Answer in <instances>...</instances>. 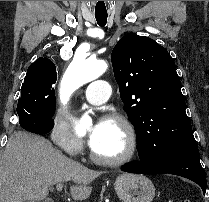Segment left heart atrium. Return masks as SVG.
Masks as SVG:
<instances>
[{"label": "left heart atrium", "instance_id": "1", "mask_svg": "<svg viewBox=\"0 0 209 202\" xmlns=\"http://www.w3.org/2000/svg\"><path fill=\"white\" fill-rule=\"evenodd\" d=\"M101 124L102 122L96 123L90 130L89 135H88V141L91 145H93L100 133V129H101Z\"/></svg>", "mask_w": 209, "mask_h": 202}]
</instances>
